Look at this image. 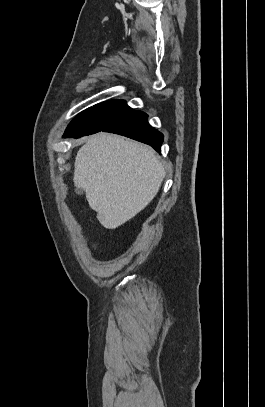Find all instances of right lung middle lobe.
<instances>
[{"instance_id":"1","label":"right lung middle lobe","mask_w":265,"mask_h":407,"mask_svg":"<svg viewBox=\"0 0 265 407\" xmlns=\"http://www.w3.org/2000/svg\"><path fill=\"white\" fill-rule=\"evenodd\" d=\"M133 111L121 100L97 104L78 114L71 121L64 135L81 137L102 131Z\"/></svg>"}]
</instances>
